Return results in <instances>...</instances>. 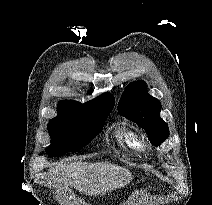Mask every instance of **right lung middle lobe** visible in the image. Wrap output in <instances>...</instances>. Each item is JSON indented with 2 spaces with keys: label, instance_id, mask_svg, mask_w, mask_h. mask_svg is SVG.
I'll return each mask as SVG.
<instances>
[{
  "label": "right lung middle lobe",
  "instance_id": "right-lung-middle-lobe-1",
  "mask_svg": "<svg viewBox=\"0 0 212 205\" xmlns=\"http://www.w3.org/2000/svg\"><path fill=\"white\" fill-rule=\"evenodd\" d=\"M112 109L113 106L77 109L51 119L47 128L51 137L48 156L59 157L82 149L102 130Z\"/></svg>",
  "mask_w": 212,
  "mask_h": 205
}]
</instances>
